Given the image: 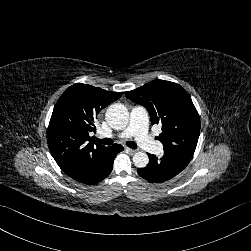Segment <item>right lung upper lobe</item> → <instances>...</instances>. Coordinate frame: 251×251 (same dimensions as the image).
I'll return each instance as SVG.
<instances>
[{
    "label": "right lung upper lobe",
    "mask_w": 251,
    "mask_h": 251,
    "mask_svg": "<svg viewBox=\"0 0 251 251\" xmlns=\"http://www.w3.org/2000/svg\"><path fill=\"white\" fill-rule=\"evenodd\" d=\"M122 93L87 84L70 86L57 101L47 130L50 152L58 166L71 178L100 166L109 157L110 147L94 143L97 114Z\"/></svg>",
    "instance_id": "right-lung-upper-lobe-1"
}]
</instances>
